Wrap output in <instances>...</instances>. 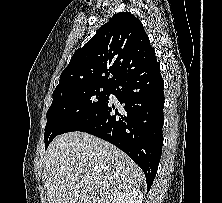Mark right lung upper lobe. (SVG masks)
<instances>
[{
	"instance_id": "cb5924a9",
	"label": "right lung upper lobe",
	"mask_w": 222,
	"mask_h": 203,
	"mask_svg": "<svg viewBox=\"0 0 222 203\" xmlns=\"http://www.w3.org/2000/svg\"><path fill=\"white\" fill-rule=\"evenodd\" d=\"M155 59L140 20L130 12H119L75 51L54 92L84 85L112 86L128 72Z\"/></svg>"
}]
</instances>
